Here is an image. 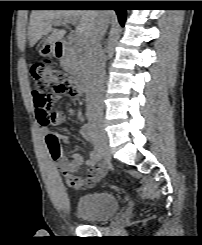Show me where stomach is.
<instances>
[{"mask_svg":"<svg viewBox=\"0 0 202 245\" xmlns=\"http://www.w3.org/2000/svg\"><path fill=\"white\" fill-rule=\"evenodd\" d=\"M55 46H56L55 42L44 43L39 49V54L44 58L56 56Z\"/></svg>","mask_w":202,"mask_h":245,"instance_id":"0dacf381","label":"stomach"}]
</instances>
